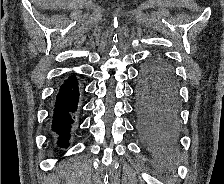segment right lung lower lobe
I'll use <instances>...</instances> for the list:
<instances>
[{"mask_svg": "<svg viewBox=\"0 0 224 184\" xmlns=\"http://www.w3.org/2000/svg\"><path fill=\"white\" fill-rule=\"evenodd\" d=\"M79 100L78 82L74 75L60 86L53 110L52 131L58 135V145L67 147L74 113Z\"/></svg>", "mask_w": 224, "mask_h": 184, "instance_id": "right-lung-lower-lobe-1", "label": "right lung lower lobe"}]
</instances>
